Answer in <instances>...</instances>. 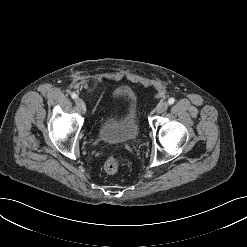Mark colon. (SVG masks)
<instances>
[{
	"mask_svg": "<svg viewBox=\"0 0 247 247\" xmlns=\"http://www.w3.org/2000/svg\"><path fill=\"white\" fill-rule=\"evenodd\" d=\"M126 159L127 156L123 152H120L117 155L109 156L105 159L103 168L109 174L117 173L121 166L126 162Z\"/></svg>",
	"mask_w": 247,
	"mask_h": 247,
	"instance_id": "colon-1",
	"label": "colon"
}]
</instances>
